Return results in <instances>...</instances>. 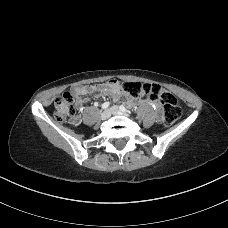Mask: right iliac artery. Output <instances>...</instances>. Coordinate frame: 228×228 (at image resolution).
<instances>
[{"mask_svg": "<svg viewBox=\"0 0 228 228\" xmlns=\"http://www.w3.org/2000/svg\"><path fill=\"white\" fill-rule=\"evenodd\" d=\"M110 103L109 102H105L102 104V109H107L109 107Z\"/></svg>", "mask_w": 228, "mask_h": 228, "instance_id": "82829eb1", "label": "right iliac artery"}]
</instances>
